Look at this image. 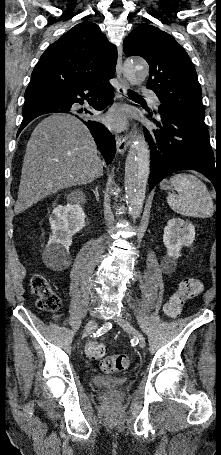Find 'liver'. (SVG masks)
<instances>
[{
  "instance_id": "liver-1",
  "label": "liver",
  "mask_w": 221,
  "mask_h": 455,
  "mask_svg": "<svg viewBox=\"0 0 221 455\" xmlns=\"http://www.w3.org/2000/svg\"><path fill=\"white\" fill-rule=\"evenodd\" d=\"M103 165L80 120L67 114L45 118L27 144L14 212L19 214L61 189L90 183L101 175Z\"/></svg>"
}]
</instances>
